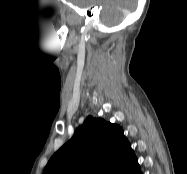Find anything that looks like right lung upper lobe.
<instances>
[{"label":"right lung upper lobe","mask_w":187,"mask_h":174,"mask_svg":"<svg viewBox=\"0 0 187 174\" xmlns=\"http://www.w3.org/2000/svg\"><path fill=\"white\" fill-rule=\"evenodd\" d=\"M139 165L119 125L88 117L43 174H133Z\"/></svg>","instance_id":"cb5924a9"}]
</instances>
